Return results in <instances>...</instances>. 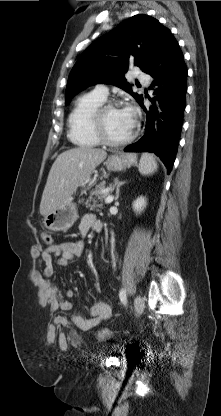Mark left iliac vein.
<instances>
[{
	"label": "left iliac vein",
	"instance_id": "1",
	"mask_svg": "<svg viewBox=\"0 0 221 416\" xmlns=\"http://www.w3.org/2000/svg\"><path fill=\"white\" fill-rule=\"evenodd\" d=\"M144 299L141 295H137L134 299V311L136 316H140L144 311Z\"/></svg>",
	"mask_w": 221,
	"mask_h": 416
}]
</instances>
